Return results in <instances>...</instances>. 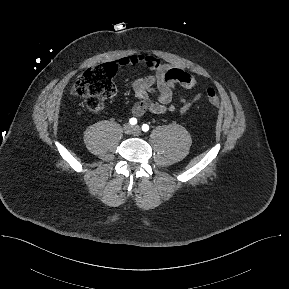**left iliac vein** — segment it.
<instances>
[{
	"instance_id": "obj_1",
	"label": "left iliac vein",
	"mask_w": 289,
	"mask_h": 289,
	"mask_svg": "<svg viewBox=\"0 0 289 289\" xmlns=\"http://www.w3.org/2000/svg\"><path fill=\"white\" fill-rule=\"evenodd\" d=\"M134 133L139 134L140 133V127L139 126H135L133 127Z\"/></svg>"
}]
</instances>
